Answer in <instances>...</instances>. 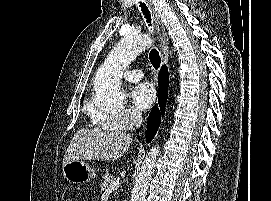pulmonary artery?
<instances>
[{"instance_id":"pulmonary-artery-1","label":"pulmonary artery","mask_w":271,"mask_h":201,"mask_svg":"<svg viewBox=\"0 0 271 201\" xmlns=\"http://www.w3.org/2000/svg\"><path fill=\"white\" fill-rule=\"evenodd\" d=\"M123 76L128 81L137 82L143 78V72L139 69H129L123 73Z\"/></svg>"}]
</instances>
